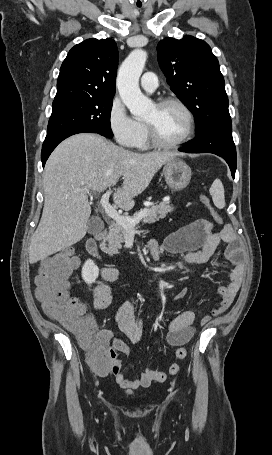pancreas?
<instances>
[{
    "instance_id": "1",
    "label": "pancreas",
    "mask_w": 272,
    "mask_h": 455,
    "mask_svg": "<svg viewBox=\"0 0 272 455\" xmlns=\"http://www.w3.org/2000/svg\"><path fill=\"white\" fill-rule=\"evenodd\" d=\"M173 210V207L169 202H161L157 205L141 209L136 212L132 218H136L141 212L146 211L147 214L142 218L143 223H155L160 219L165 218V216ZM126 228L122 227L118 223L112 224V228L109 231L106 241L108 242L107 247H104L103 250L105 253L113 256L118 254V250L122 248V243L125 241L127 234Z\"/></svg>"
}]
</instances>
